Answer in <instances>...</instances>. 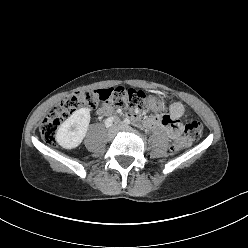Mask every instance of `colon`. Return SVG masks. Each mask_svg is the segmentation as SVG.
I'll use <instances>...</instances> for the list:
<instances>
[{
	"label": "colon",
	"instance_id": "colon-1",
	"mask_svg": "<svg viewBox=\"0 0 248 248\" xmlns=\"http://www.w3.org/2000/svg\"><path fill=\"white\" fill-rule=\"evenodd\" d=\"M146 95L143 91L122 86L73 92L57 104L41 121L42 139L46 144L53 145L56 132L62 122L81 107L95 108L98 105H105L141 111L145 109L143 101ZM202 131L203 127L199 121L190 120L185 126V135L176 138L171 143L170 151L176 153L185 149L191 142L200 139Z\"/></svg>",
	"mask_w": 248,
	"mask_h": 248
}]
</instances>
